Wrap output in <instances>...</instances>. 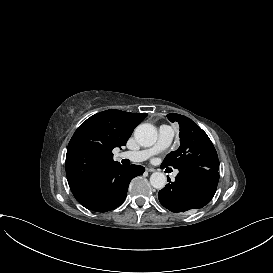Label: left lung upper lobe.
<instances>
[{
	"label": "left lung upper lobe",
	"mask_w": 273,
	"mask_h": 273,
	"mask_svg": "<svg viewBox=\"0 0 273 273\" xmlns=\"http://www.w3.org/2000/svg\"><path fill=\"white\" fill-rule=\"evenodd\" d=\"M167 118L171 122L179 123L181 144L176 151L170 152L165 157L162 166L176 169L203 167L218 171L217 152L207 134L186 116L169 113Z\"/></svg>",
	"instance_id": "left-lung-upper-lobe-1"
}]
</instances>
